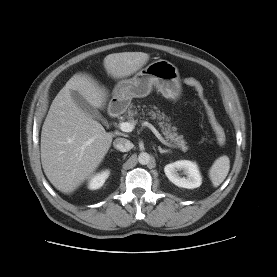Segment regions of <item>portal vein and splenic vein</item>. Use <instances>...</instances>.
I'll return each mask as SVG.
<instances>
[{"instance_id": "portal-vein-and-splenic-vein-1", "label": "portal vein and splenic vein", "mask_w": 277, "mask_h": 277, "mask_svg": "<svg viewBox=\"0 0 277 277\" xmlns=\"http://www.w3.org/2000/svg\"><path fill=\"white\" fill-rule=\"evenodd\" d=\"M142 125L143 126H146L148 127L152 132L153 134L164 144V145H167V146H171L170 143H168L162 136L161 134L158 132V130L149 122L147 121H144L142 122ZM119 127L121 129V131L123 132H132L133 129L135 128V122L132 121V122H122L119 124Z\"/></svg>"}]
</instances>
